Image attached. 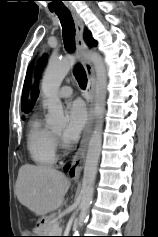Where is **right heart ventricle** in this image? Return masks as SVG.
<instances>
[{
    "instance_id": "right-heart-ventricle-1",
    "label": "right heart ventricle",
    "mask_w": 158,
    "mask_h": 237,
    "mask_svg": "<svg viewBox=\"0 0 158 237\" xmlns=\"http://www.w3.org/2000/svg\"><path fill=\"white\" fill-rule=\"evenodd\" d=\"M27 149L31 159L39 165L51 166L57 160L53 131L45 127L38 116H34L29 123Z\"/></svg>"
}]
</instances>
